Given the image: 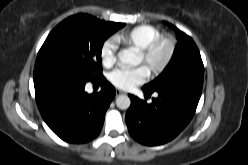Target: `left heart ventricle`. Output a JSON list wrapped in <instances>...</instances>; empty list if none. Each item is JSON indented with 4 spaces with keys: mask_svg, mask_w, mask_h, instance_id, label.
<instances>
[{
    "mask_svg": "<svg viewBox=\"0 0 248 165\" xmlns=\"http://www.w3.org/2000/svg\"><path fill=\"white\" fill-rule=\"evenodd\" d=\"M165 48L161 47L157 52V57H161L164 54ZM140 62H144L142 55H140Z\"/></svg>",
    "mask_w": 248,
    "mask_h": 165,
    "instance_id": "1",
    "label": "left heart ventricle"
}]
</instances>
